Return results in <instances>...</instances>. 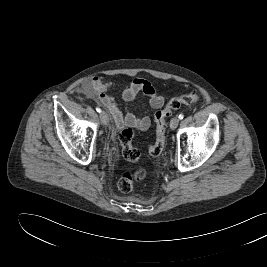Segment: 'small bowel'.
I'll return each mask as SVG.
<instances>
[{"instance_id":"small-bowel-1","label":"small bowel","mask_w":267,"mask_h":267,"mask_svg":"<svg viewBox=\"0 0 267 267\" xmlns=\"http://www.w3.org/2000/svg\"><path fill=\"white\" fill-rule=\"evenodd\" d=\"M114 86L113 82H106L99 77H93L82 84V90L87 96L94 97L110 112L119 129L131 127L147 130L151 125V118L148 115L138 117L128 110L121 111L115 99L107 94V91ZM139 93H143L149 98V105L152 109H159L164 104V97L157 91L156 87L143 78L132 80L122 91V99L126 104L131 103Z\"/></svg>"}]
</instances>
